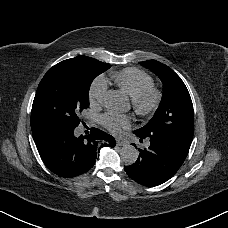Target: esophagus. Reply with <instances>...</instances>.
I'll return each mask as SVG.
<instances>
[{"instance_id":"obj_1","label":"esophagus","mask_w":228,"mask_h":228,"mask_svg":"<svg viewBox=\"0 0 228 228\" xmlns=\"http://www.w3.org/2000/svg\"><path fill=\"white\" fill-rule=\"evenodd\" d=\"M116 145L119 146V147H122V146L128 145V142L120 140V139H117L116 140Z\"/></svg>"}]
</instances>
